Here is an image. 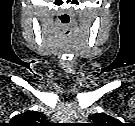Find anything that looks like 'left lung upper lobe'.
<instances>
[{
  "instance_id": "left-lung-upper-lobe-1",
  "label": "left lung upper lobe",
  "mask_w": 135,
  "mask_h": 126,
  "mask_svg": "<svg viewBox=\"0 0 135 126\" xmlns=\"http://www.w3.org/2000/svg\"><path fill=\"white\" fill-rule=\"evenodd\" d=\"M90 119L94 123L103 124V122L107 123L106 121H108V116L103 113H96V114L91 115Z\"/></svg>"
}]
</instances>
